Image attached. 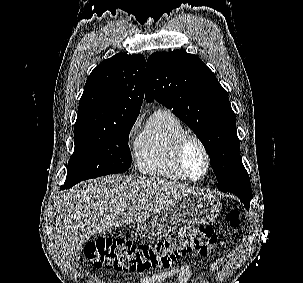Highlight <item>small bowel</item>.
Listing matches in <instances>:
<instances>
[{"instance_id": "obj_1", "label": "small bowel", "mask_w": 303, "mask_h": 283, "mask_svg": "<svg viewBox=\"0 0 303 283\" xmlns=\"http://www.w3.org/2000/svg\"><path fill=\"white\" fill-rule=\"evenodd\" d=\"M189 271L188 266L182 265L170 271L157 273L151 276H143L139 279V283H162L177 275H186Z\"/></svg>"}]
</instances>
